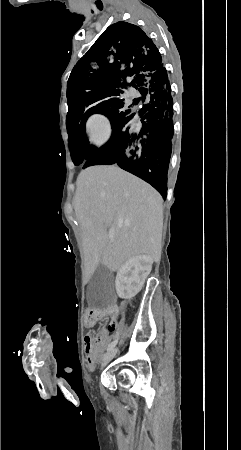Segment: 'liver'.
I'll list each match as a JSON object with an SVG mask.
<instances>
[{"instance_id": "1", "label": "liver", "mask_w": 241, "mask_h": 450, "mask_svg": "<svg viewBox=\"0 0 241 450\" xmlns=\"http://www.w3.org/2000/svg\"><path fill=\"white\" fill-rule=\"evenodd\" d=\"M76 186L74 210L82 230L87 278L99 264L116 272L137 254L160 262L163 198L152 186L117 166L86 168Z\"/></svg>"}]
</instances>
